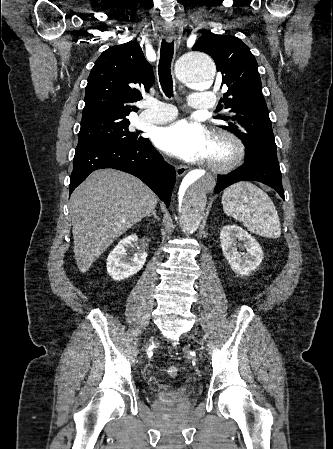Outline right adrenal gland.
<instances>
[{
  "mask_svg": "<svg viewBox=\"0 0 333 449\" xmlns=\"http://www.w3.org/2000/svg\"><path fill=\"white\" fill-rule=\"evenodd\" d=\"M150 216H153L155 219L158 220V216L156 215V210H153V212L150 215H148V217H150Z\"/></svg>",
  "mask_w": 333,
  "mask_h": 449,
  "instance_id": "2a0ac1e0",
  "label": "right adrenal gland"
}]
</instances>
